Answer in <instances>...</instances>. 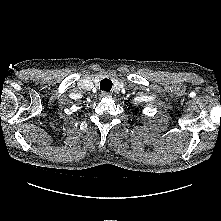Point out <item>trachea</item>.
Masks as SVG:
<instances>
[{
    "label": "trachea",
    "mask_w": 221,
    "mask_h": 221,
    "mask_svg": "<svg viewBox=\"0 0 221 221\" xmlns=\"http://www.w3.org/2000/svg\"><path fill=\"white\" fill-rule=\"evenodd\" d=\"M112 85H113L112 81L106 78V79H103V80L100 82V89H101L102 91H107V92H108V91L111 90Z\"/></svg>",
    "instance_id": "3493384b"
}]
</instances>
